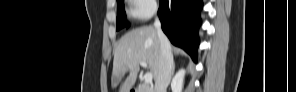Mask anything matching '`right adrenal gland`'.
Wrapping results in <instances>:
<instances>
[{"mask_svg": "<svg viewBox=\"0 0 296 92\" xmlns=\"http://www.w3.org/2000/svg\"><path fill=\"white\" fill-rule=\"evenodd\" d=\"M174 73H175V63L173 64V67H172L171 77L174 76Z\"/></svg>", "mask_w": 296, "mask_h": 92, "instance_id": "obj_1", "label": "right adrenal gland"}]
</instances>
